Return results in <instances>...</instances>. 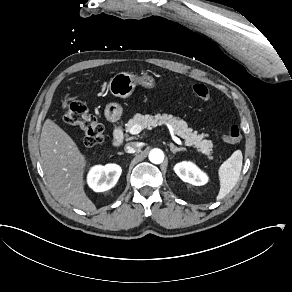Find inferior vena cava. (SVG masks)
<instances>
[{
	"mask_svg": "<svg viewBox=\"0 0 292 292\" xmlns=\"http://www.w3.org/2000/svg\"><path fill=\"white\" fill-rule=\"evenodd\" d=\"M140 149V146L137 142H130L125 145V152L127 153H135Z\"/></svg>",
	"mask_w": 292,
	"mask_h": 292,
	"instance_id": "inferior-vena-cava-1",
	"label": "inferior vena cava"
}]
</instances>
